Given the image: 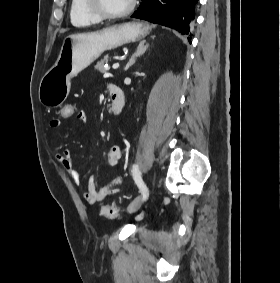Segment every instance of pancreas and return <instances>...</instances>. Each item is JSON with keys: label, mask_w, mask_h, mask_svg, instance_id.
Wrapping results in <instances>:
<instances>
[{"label": "pancreas", "mask_w": 280, "mask_h": 283, "mask_svg": "<svg viewBox=\"0 0 280 283\" xmlns=\"http://www.w3.org/2000/svg\"><path fill=\"white\" fill-rule=\"evenodd\" d=\"M108 56H105L103 59H101L100 61L97 62L95 69L101 73H105L107 72L110 67H104V64L108 61Z\"/></svg>", "instance_id": "obj_1"}]
</instances>
